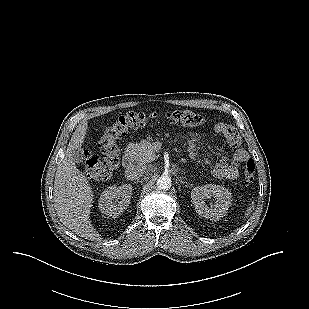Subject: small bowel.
<instances>
[{"instance_id": "c3829d8e", "label": "small bowel", "mask_w": 309, "mask_h": 309, "mask_svg": "<svg viewBox=\"0 0 309 309\" xmlns=\"http://www.w3.org/2000/svg\"><path fill=\"white\" fill-rule=\"evenodd\" d=\"M214 132L216 135L224 137L233 147H237L240 144V138L236 130L230 125L219 123L215 126ZM196 138L194 136L193 140L195 141ZM248 158L249 154L245 149H237L229 161L226 158H222L214 167L213 174L219 179H236L239 176L241 166Z\"/></svg>"}]
</instances>
